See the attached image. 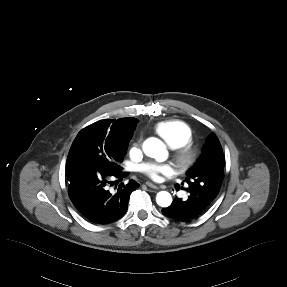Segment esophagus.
Returning <instances> with one entry per match:
<instances>
[{
	"label": "esophagus",
	"instance_id": "1",
	"mask_svg": "<svg viewBox=\"0 0 287 287\" xmlns=\"http://www.w3.org/2000/svg\"><path fill=\"white\" fill-rule=\"evenodd\" d=\"M146 185L152 189L159 190V187L151 182H146Z\"/></svg>",
	"mask_w": 287,
	"mask_h": 287
}]
</instances>
